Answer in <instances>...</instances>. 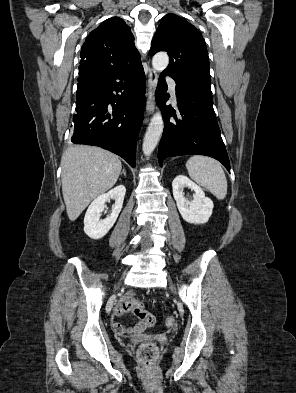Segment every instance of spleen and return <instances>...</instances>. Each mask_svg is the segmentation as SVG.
Here are the masks:
<instances>
[{
  "mask_svg": "<svg viewBox=\"0 0 296 393\" xmlns=\"http://www.w3.org/2000/svg\"><path fill=\"white\" fill-rule=\"evenodd\" d=\"M186 168L189 176L199 185L208 189L217 199L227 194V180L218 161L210 157L195 155L188 159Z\"/></svg>",
  "mask_w": 296,
  "mask_h": 393,
  "instance_id": "obj_1",
  "label": "spleen"
}]
</instances>
